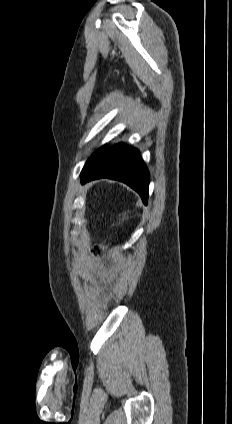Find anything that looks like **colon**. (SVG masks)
I'll return each instance as SVG.
<instances>
[{"instance_id": "obj_1", "label": "colon", "mask_w": 232, "mask_h": 424, "mask_svg": "<svg viewBox=\"0 0 232 424\" xmlns=\"http://www.w3.org/2000/svg\"><path fill=\"white\" fill-rule=\"evenodd\" d=\"M94 254H95L96 256L100 257V256H101V254H102V252H101V250H95Z\"/></svg>"}]
</instances>
